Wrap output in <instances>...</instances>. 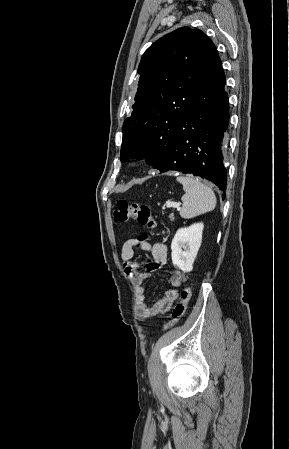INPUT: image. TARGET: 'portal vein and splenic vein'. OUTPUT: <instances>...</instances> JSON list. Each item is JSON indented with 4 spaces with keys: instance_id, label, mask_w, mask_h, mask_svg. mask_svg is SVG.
I'll return each instance as SVG.
<instances>
[{
    "instance_id": "1",
    "label": "portal vein and splenic vein",
    "mask_w": 289,
    "mask_h": 449,
    "mask_svg": "<svg viewBox=\"0 0 289 449\" xmlns=\"http://www.w3.org/2000/svg\"><path fill=\"white\" fill-rule=\"evenodd\" d=\"M180 205L181 204L179 202L178 203H176V202H167L166 203L167 208L173 207V208L179 209Z\"/></svg>"
}]
</instances>
